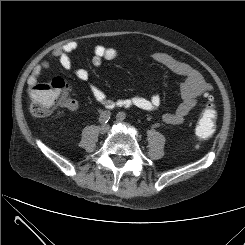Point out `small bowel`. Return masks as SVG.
Instances as JSON below:
<instances>
[{
    "instance_id": "c3829d8e",
    "label": "small bowel",
    "mask_w": 245,
    "mask_h": 245,
    "mask_svg": "<svg viewBox=\"0 0 245 245\" xmlns=\"http://www.w3.org/2000/svg\"><path fill=\"white\" fill-rule=\"evenodd\" d=\"M76 48V43H67L62 47L53 50L52 57L59 60L64 70L73 72L79 80L88 82L90 79L88 70L84 68H74L73 66L70 55L76 50ZM118 55L119 53L115 48L96 45L92 56V64L94 66H99L103 60H114ZM152 59L156 63L166 67L171 72L184 78V82L181 86L182 102L175 111L165 112L162 115L165 123L180 124L195 108L199 98L210 90V86L205 82L204 78L197 70L166 53L156 52L152 55ZM48 68L49 63L47 61H43L36 65L29 77V84L32 85L36 83L37 79ZM89 88L93 98L106 108H138L148 112H157L161 107V99L156 94H150L147 96L135 95L130 98L113 101L108 99L105 92L97 85L90 83ZM69 108L75 110L77 108L76 103L72 102V105Z\"/></svg>"
}]
</instances>
